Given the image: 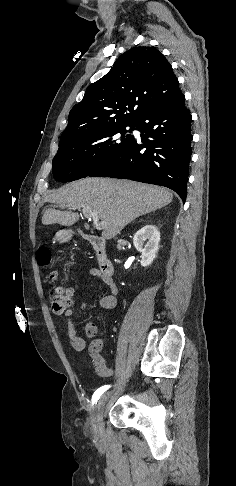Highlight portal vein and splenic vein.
<instances>
[{
	"instance_id": "18ae733b",
	"label": "portal vein and splenic vein",
	"mask_w": 236,
	"mask_h": 486,
	"mask_svg": "<svg viewBox=\"0 0 236 486\" xmlns=\"http://www.w3.org/2000/svg\"><path fill=\"white\" fill-rule=\"evenodd\" d=\"M83 214L86 218L93 220L94 226L97 230H101L105 227L106 223L104 221L99 222V217L95 210L83 209Z\"/></svg>"
}]
</instances>
